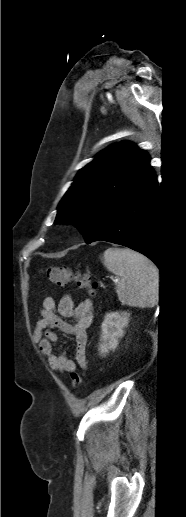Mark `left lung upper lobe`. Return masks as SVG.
I'll list each match as a JSON object with an SVG mask.
<instances>
[{
	"label": "left lung upper lobe",
	"mask_w": 186,
	"mask_h": 517,
	"mask_svg": "<svg viewBox=\"0 0 186 517\" xmlns=\"http://www.w3.org/2000/svg\"><path fill=\"white\" fill-rule=\"evenodd\" d=\"M149 160L130 142L101 151L77 174L58 205L54 223L75 224L89 243L107 212L150 167Z\"/></svg>",
	"instance_id": "obj_1"
}]
</instances>
